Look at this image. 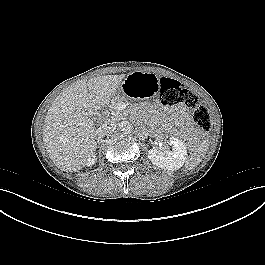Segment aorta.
Here are the masks:
<instances>
[{"instance_id": "762f6f07", "label": "aorta", "mask_w": 265, "mask_h": 265, "mask_svg": "<svg viewBox=\"0 0 265 265\" xmlns=\"http://www.w3.org/2000/svg\"><path fill=\"white\" fill-rule=\"evenodd\" d=\"M119 126H120L121 131H122L123 133H125V134L131 133L132 130H133L132 125H131L129 122H127V121H123V122H121V123L119 124Z\"/></svg>"}]
</instances>
